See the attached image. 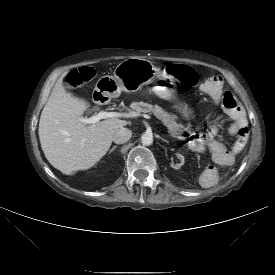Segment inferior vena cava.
Returning <instances> with one entry per match:
<instances>
[{"mask_svg": "<svg viewBox=\"0 0 275 275\" xmlns=\"http://www.w3.org/2000/svg\"><path fill=\"white\" fill-rule=\"evenodd\" d=\"M131 136H132L131 130H129L128 128L122 127L114 133L113 141L116 144H123V143L129 141Z\"/></svg>", "mask_w": 275, "mask_h": 275, "instance_id": "1", "label": "inferior vena cava"}]
</instances>
